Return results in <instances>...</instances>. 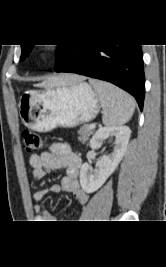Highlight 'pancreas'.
Returning a JSON list of instances; mask_svg holds the SVG:
<instances>
[{
	"mask_svg": "<svg viewBox=\"0 0 166 267\" xmlns=\"http://www.w3.org/2000/svg\"><path fill=\"white\" fill-rule=\"evenodd\" d=\"M94 130L89 128V125H83L79 130V141L86 143L89 137L93 134Z\"/></svg>",
	"mask_w": 166,
	"mask_h": 267,
	"instance_id": "cf45deb5",
	"label": "pancreas"
}]
</instances>
